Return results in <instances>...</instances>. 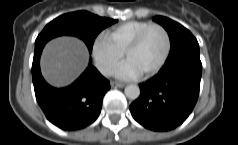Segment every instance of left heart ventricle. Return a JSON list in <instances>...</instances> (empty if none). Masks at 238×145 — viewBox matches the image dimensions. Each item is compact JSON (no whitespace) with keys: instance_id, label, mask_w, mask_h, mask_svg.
<instances>
[{"instance_id":"b2bd125f","label":"left heart ventricle","mask_w":238,"mask_h":145,"mask_svg":"<svg viewBox=\"0 0 238 145\" xmlns=\"http://www.w3.org/2000/svg\"><path fill=\"white\" fill-rule=\"evenodd\" d=\"M164 49L163 32L158 28H153L147 33L141 44L127 55L126 60L130 61L143 74L157 64Z\"/></svg>"}]
</instances>
